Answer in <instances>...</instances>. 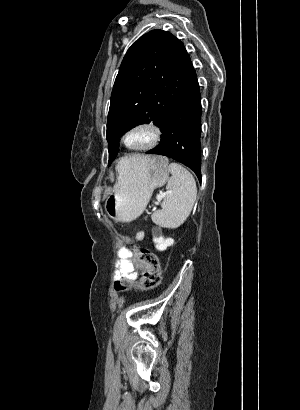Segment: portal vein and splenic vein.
<instances>
[{"label":"portal vein and splenic vein","mask_w":300,"mask_h":410,"mask_svg":"<svg viewBox=\"0 0 300 410\" xmlns=\"http://www.w3.org/2000/svg\"><path fill=\"white\" fill-rule=\"evenodd\" d=\"M166 194H167V193L158 194L156 198H157L158 200H160V199H162L163 197H165Z\"/></svg>","instance_id":"obj_1"}]
</instances>
